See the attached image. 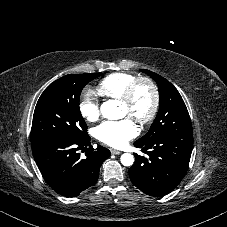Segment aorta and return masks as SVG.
I'll return each instance as SVG.
<instances>
[{
  "mask_svg": "<svg viewBox=\"0 0 227 227\" xmlns=\"http://www.w3.org/2000/svg\"><path fill=\"white\" fill-rule=\"evenodd\" d=\"M118 100H108L100 107L101 114L108 119H120L124 114L120 111ZM121 163L124 166H132L134 163V156L130 153H124L121 158Z\"/></svg>",
  "mask_w": 227,
  "mask_h": 227,
  "instance_id": "762f6f07",
  "label": "aorta"
}]
</instances>
